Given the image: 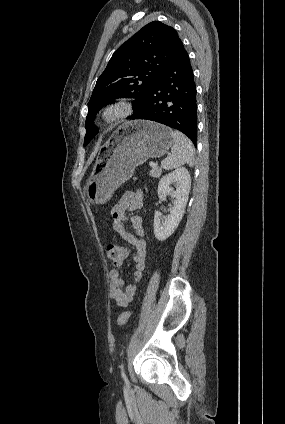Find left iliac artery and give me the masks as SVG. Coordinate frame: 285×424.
Here are the masks:
<instances>
[{
	"label": "left iliac artery",
	"instance_id": "1",
	"mask_svg": "<svg viewBox=\"0 0 285 424\" xmlns=\"http://www.w3.org/2000/svg\"><path fill=\"white\" fill-rule=\"evenodd\" d=\"M121 375H122V378L124 379L125 383L128 384V380H127L125 372H124V364L121 365Z\"/></svg>",
	"mask_w": 285,
	"mask_h": 424
}]
</instances>
